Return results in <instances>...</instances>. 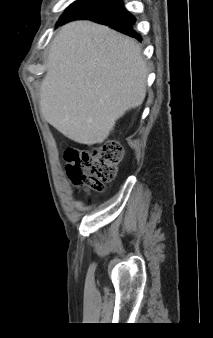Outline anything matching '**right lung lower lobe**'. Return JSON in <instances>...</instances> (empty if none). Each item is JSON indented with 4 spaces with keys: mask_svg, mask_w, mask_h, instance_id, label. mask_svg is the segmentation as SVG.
<instances>
[{
    "mask_svg": "<svg viewBox=\"0 0 213 338\" xmlns=\"http://www.w3.org/2000/svg\"><path fill=\"white\" fill-rule=\"evenodd\" d=\"M79 19L108 25L141 41V36L133 28L136 19L125 9L122 0H93L74 11L60 25Z\"/></svg>",
    "mask_w": 213,
    "mask_h": 338,
    "instance_id": "98d812e1",
    "label": "right lung lower lobe"
}]
</instances>
